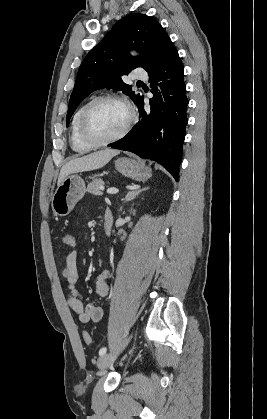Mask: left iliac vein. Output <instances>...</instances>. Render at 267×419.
Here are the masks:
<instances>
[{
	"label": "left iliac vein",
	"mask_w": 267,
	"mask_h": 419,
	"mask_svg": "<svg viewBox=\"0 0 267 419\" xmlns=\"http://www.w3.org/2000/svg\"><path fill=\"white\" fill-rule=\"evenodd\" d=\"M117 358V353H107L102 355L97 363V366L100 370L107 369L110 365L114 363Z\"/></svg>",
	"instance_id": "obj_1"
}]
</instances>
